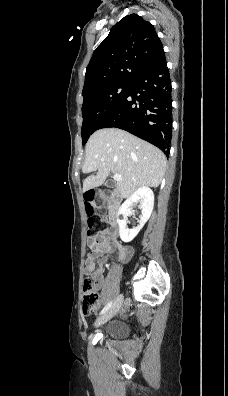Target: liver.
Wrapping results in <instances>:
<instances>
[{"mask_svg":"<svg viewBox=\"0 0 228 396\" xmlns=\"http://www.w3.org/2000/svg\"><path fill=\"white\" fill-rule=\"evenodd\" d=\"M85 152L82 172H98L84 180L83 191L102 185L112 172L122 176L117 181V190L123 198H128L140 187H158L165 175L163 152L118 128L97 130L89 138Z\"/></svg>","mask_w":228,"mask_h":396,"instance_id":"6515ba94","label":"liver"}]
</instances>
